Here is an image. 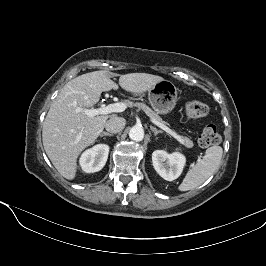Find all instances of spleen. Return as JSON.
Wrapping results in <instances>:
<instances>
[{"instance_id": "3e777b00", "label": "spleen", "mask_w": 266, "mask_h": 266, "mask_svg": "<svg viewBox=\"0 0 266 266\" xmlns=\"http://www.w3.org/2000/svg\"><path fill=\"white\" fill-rule=\"evenodd\" d=\"M222 154L220 146L208 148L204 157L189 169L178 189L189 191L203 184L219 168Z\"/></svg>"}]
</instances>
